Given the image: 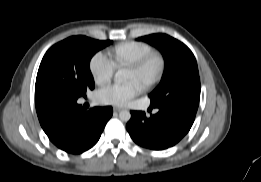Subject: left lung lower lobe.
<instances>
[{"instance_id": "obj_1", "label": "left lung lower lobe", "mask_w": 261, "mask_h": 182, "mask_svg": "<svg viewBox=\"0 0 261 182\" xmlns=\"http://www.w3.org/2000/svg\"><path fill=\"white\" fill-rule=\"evenodd\" d=\"M198 105L195 101L186 100L156 107L159 111L151 117L142 111H131L127 131L140 146L154 150L166 149L174 146L188 133Z\"/></svg>"}]
</instances>
